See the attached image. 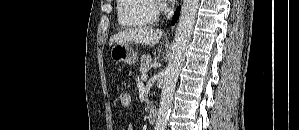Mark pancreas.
I'll list each match as a JSON object with an SVG mask.
<instances>
[{
    "label": "pancreas",
    "instance_id": "1",
    "mask_svg": "<svg viewBox=\"0 0 299 130\" xmlns=\"http://www.w3.org/2000/svg\"><path fill=\"white\" fill-rule=\"evenodd\" d=\"M151 63H152L151 56L149 55L142 56L140 59V70H139L140 73L145 74L149 70Z\"/></svg>",
    "mask_w": 299,
    "mask_h": 130
}]
</instances>
